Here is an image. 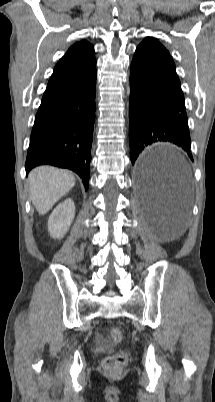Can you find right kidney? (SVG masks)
Here are the masks:
<instances>
[{
  "instance_id": "1",
  "label": "right kidney",
  "mask_w": 215,
  "mask_h": 402,
  "mask_svg": "<svg viewBox=\"0 0 215 402\" xmlns=\"http://www.w3.org/2000/svg\"><path fill=\"white\" fill-rule=\"evenodd\" d=\"M75 216V205L68 198L60 203L51 213L48 220V231L53 238H62L68 231Z\"/></svg>"
}]
</instances>
